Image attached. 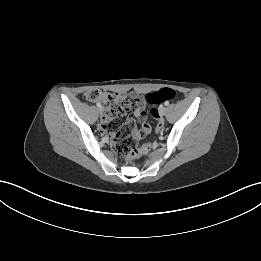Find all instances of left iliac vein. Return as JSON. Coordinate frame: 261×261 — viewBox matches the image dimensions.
Instances as JSON below:
<instances>
[{
	"mask_svg": "<svg viewBox=\"0 0 261 261\" xmlns=\"http://www.w3.org/2000/svg\"><path fill=\"white\" fill-rule=\"evenodd\" d=\"M166 110H167L166 107H164V106L160 107L159 112H160L161 116H164V115H165Z\"/></svg>",
	"mask_w": 261,
	"mask_h": 261,
	"instance_id": "obj_1",
	"label": "left iliac vein"
}]
</instances>
